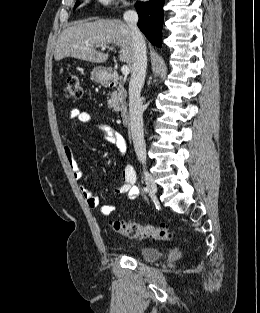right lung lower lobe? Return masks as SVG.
<instances>
[{
  "label": "right lung lower lobe",
  "mask_w": 260,
  "mask_h": 313,
  "mask_svg": "<svg viewBox=\"0 0 260 313\" xmlns=\"http://www.w3.org/2000/svg\"><path fill=\"white\" fill-rule=\"evenodd\" d=\"M164 0H149L137 2L136 10L139 15L138 27L147 39L155 46L161 47V30L163 25Z\"/></svg>",
  "instance_id": "1"
}]
</instances>
